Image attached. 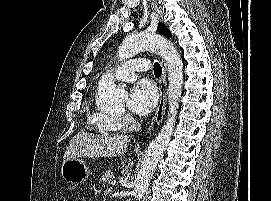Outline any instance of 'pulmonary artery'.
Returning <instances> with one entry per match:
<instances>
[{"mask_svg": "<svg viewBox=\"0 0 271 201\" xmlns=\"http://www.w3.org/2000/svg\"><path fill=\"white\" fill-rule=\"evenodd\" d=\"M149 70V64L141 58L131 59L123 62L117 67L114 76L121 81H134L138 78V74Z\"/></svg>", "mask_w": 271, "mask_h": 201, "instance_id": "e3ab8cb5", "label": "pulmonary artery"}]
</instances>
